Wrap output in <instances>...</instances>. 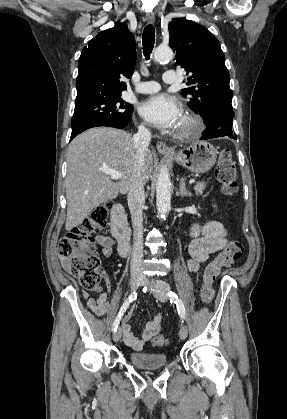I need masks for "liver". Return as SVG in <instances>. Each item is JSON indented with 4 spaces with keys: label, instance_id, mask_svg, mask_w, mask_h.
Instances as JSON below:
<instances>
[{
    "label": "liver",
    "instance_id": "obj_1",
    "mask_svg": "<svg viewBox=\"0 0 287 419\" xmlns=\"http://www.w3.org/2000/svg\"><path fill=\"white\" fill-rule=\"evenodd\" d=\"M136 148L131 134L124 130L97 127L79 134L67 151L66 199L67 231L78 226L100 204L126 194L131 185ZM102 169L122 174L115 182ZM153 170V155L147 149L142 166L143 183Z\"/></svg>",
    "mask_w": 287,
    "mask_h": 419
}]
</instances>
